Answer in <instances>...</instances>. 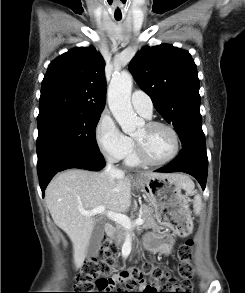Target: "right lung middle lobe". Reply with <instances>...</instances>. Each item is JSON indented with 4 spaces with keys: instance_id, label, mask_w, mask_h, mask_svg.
Returning <instances> with one entry per match:
<instances>
[{
    "instance_id": "right-lung-middle-lobe-1",
    "label": "right lung middle lobe",
    "mask_w": 245,
    "mask_h": 293,
    "mask_svg": "<svg viewBox=\"0 0 245 293\" xmlns=\"http://www.w3.org/2000/svg\"><path fill=\"white\" fill-rule=\"evenodd\" d=\"M101 112L67 109L39 111L37 118V170L54 156L69 151L100 153L95 128Z\"/></svg>"
}]
</instances>
